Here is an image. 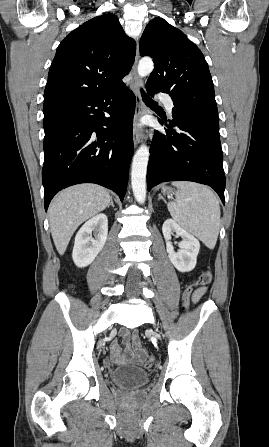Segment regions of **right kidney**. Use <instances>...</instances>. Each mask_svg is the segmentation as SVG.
<instances>
[{"label": "right kidney", "instance_id": "1", "mask_svg": "<svg viewBox=\"0 0 269 447\" xmlns=\"http://www.w3.org/2000/svg\"><path fill=\"white\" fill-rule=\"evenodd\" d=\"M95 235V237H92ZM108 235V220L105 214H97L85 222L76 233L72 257L75 265L86 267L94 261L105 245Z\"/></svg>", "mask_w": 269, "mask_h": 447}]
</instances>
